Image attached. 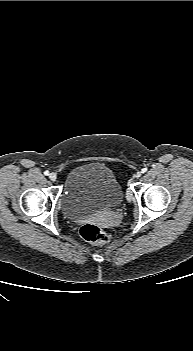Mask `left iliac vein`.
Instances as JSON below:
<instances>
[{
	"label": "left iliac vein",
	"mask_w": 193,
	"mask_h": 351,
	"mask_svg": "<svg viewBox=\"0 0 193 351\" xmlns=\"http://www.w3.org/2000/svg\"><path fill=\"white\" fill-rule=\"evenodd\" d=\"M141 175H142V173H141V172H137V173H136V175H135V177H136V178H140V177H141Z\"/></svg>",
	"instance_id": "obj_1"
}]
</instances>
